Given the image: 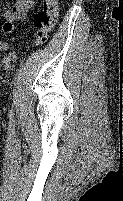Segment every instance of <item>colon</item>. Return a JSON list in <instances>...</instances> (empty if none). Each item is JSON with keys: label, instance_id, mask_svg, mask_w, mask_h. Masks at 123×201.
I'll return each mask as SVG.
<instances>
[{"label": "colon", "instance_id": "colon-1", "mask_svg": "<svg viewBox=\"0 0 123 201\" xmlns=\"http://www.w3.org/2000/svg\"><path fill=\"white\" fill-rule=\"evenodd\" d=\"M58 19V0H43L41 9L34 15V24L37 28L33 45H44L48 35L55 27ZM7 44L0 41V50H6Z\"/></svg>", "mask_w": 123, "mask_h": 201}]
</instances>
